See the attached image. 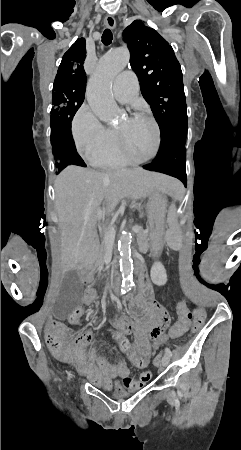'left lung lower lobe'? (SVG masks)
I'll return each instance as SVG.
<instances>
[{
	"instance_id": "1",
	"label": "left lung lower lobe",
	"mask_w": 241,
	"mask_h": 450,
	"mask_svg": "<svg viewBox=\"0 0 241 450\" xmlns=\"http://www.w3.org/2000/svg\"><path fill=\"white\" fill-rule=\"evenodd\" d=\"M187 129V118L175 121L167 131L161 134L160 149L156 158L143 168L176 177L186 186L185 137Z\"/></svg>"
}]
</instances>
